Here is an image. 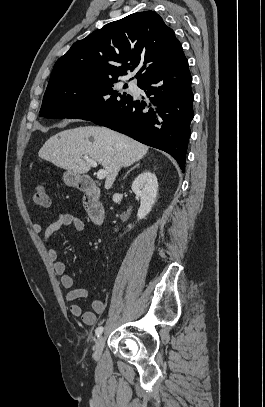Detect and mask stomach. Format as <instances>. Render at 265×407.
Here are the masks:
<instances>
[{
    "label": "stomach",
    "mask_w": 265,
    "mask_h": 407,
    "mask_svg": "<svg viewBox=\"0 0 265 407\" xmlns=\"http://www.w3.org/2000/svg\"><path fill=\"white\" fill-rule=\"evenodd\" d=\"M63 180L68 186H78L82 182L83 176L72 171H66L63 174Z\"/></svg>",
    "instance_id": "0dacf381"
}]
</instances>
